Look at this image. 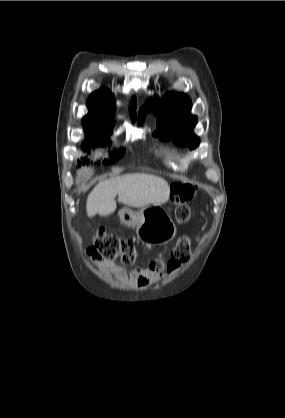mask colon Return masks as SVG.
<instances>
[{
	"label": "colon",
	"instance_id": "obj_1",
	"mask_svg": "<svg viewBox=\"0 0 285 418\" xmlns=\"http://www.w3.org/2000/svg\"><path fill=\"white\" fill-rule=\"evenodd\" d=\"M173 195L177 203L174 212L175 221L179 224H185L191 218V210L188 202L193 197L192 191L179 184H174ZM93 241L94 243L90 247V255L95 260L113 261L120 259L124 265H131L136 259L137 252L132 239L120 238L99 228L93 236ZM189 258V238L186 234L180 233L170 258L168 260L158 258L152 262L151 270L157 275H162L166 271L172 270L180 264L187 262Z\"/></svg>",
	"mask_w": 285,
	"mask_h": 418
}]
</instances>
